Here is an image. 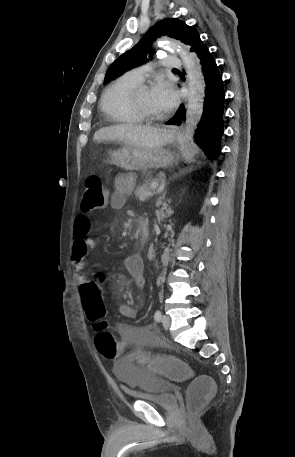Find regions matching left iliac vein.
Returning <instances> with one entry per match:
<instances>
[{"label":"left iliac vein","mask_w":295,"mask_h":457,"mask_svg":"<svg viewBox=\"0 0 295 457\" xmlns=\"http://www.w3.org/2000/svg\"><path fill=\"white\" fill-rule=\"evenodd\" d=\"M161 321H162L163 327L165 329H168L170 327L171 320H170L169 316L163 315Z\"/></svg>","instance_id":"4c4485c4"}]
</instances>
